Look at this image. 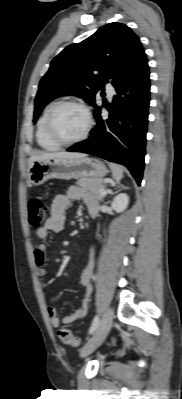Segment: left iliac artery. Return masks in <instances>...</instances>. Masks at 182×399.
Returning a JSON list of instances; mask_svg holds the SVG:
<instances>
[{
  "label": "left iliac artery",
  "mask_w": 182,
  "mask_h": 399,
  "mask_svg": "<svg viewBox=\"0 0 182 399\" xmlns=\"http://www.w3.org/2000/svg\"><path fill=\"white\" fill-rule=\"evenodd\" d=\"M98 325H99V317H98V315H96L94 317V319H93V322H92V325L90 327L89 333L94 332L97 329Z\"/></svg>",
  "instance_id": "left-iliac-artery-1"
}]
</instances>
